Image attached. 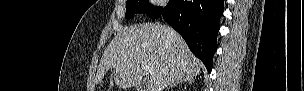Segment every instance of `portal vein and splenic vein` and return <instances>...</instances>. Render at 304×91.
<instances>
[{
	"mask_svg": "<svg viewBox=\"0 0 304 91\" xmlns=\"http://www.w3.org/2000/svg\"><path fill=\"white\" fill-rule=\"evenodd\" d=\"M142 67L146 74H148V75L152 74V71L150 70V67L147 64L142 63Z\"/></svg>",
	"mask_w": 304,
	"mask_h": 91,
	"instance_id": "18ae733b",
	"label": "portal vein and splenic vein"
}]
</instances>
